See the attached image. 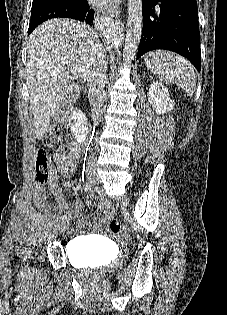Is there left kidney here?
<instances>
[{
	"mask_svg": "<svg viewBox=\"0 0 227 315\" xmlns=\"http://www.w3.org/2000/svg\"><path fill=\"white\" fill-rule=\"evenodd\" d=\"M148 99L158 114L174 109V102L170 99L168 90L161 83L153 82L148 91Z\"/></svg>",
	"mask_w": 227,
	"mask_h": 315,
	"instance_id": "obj_1",
	"label": "left kidney"
}]
</instances>
